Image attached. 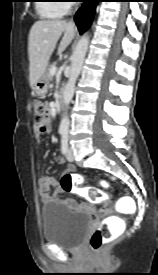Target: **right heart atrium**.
Masks as SVG:
<instances>
[{
  "label": "right heart atrium",
  "mask_w": 158,
  "mask_h": 275,
  "mask_svg": "<svg viewBox=\"0 0 158 275\" xmlns=\"http://www.w3.org/2000/svg\"><path fill=\"white\" fill-rule=\"evenodd\" d=\"M61 2H63L61 4L65 7V11L67 12L73 0H62Z\"/></svg>",
  "instance_id": "d8ad5b80"
}]
</instances>
